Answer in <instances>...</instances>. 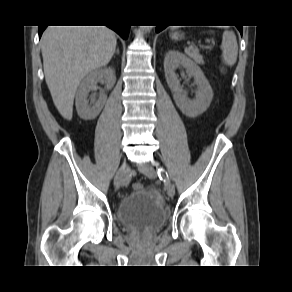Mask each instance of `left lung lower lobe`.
<instances>
[{
    "label": "left lung lower lobe",
    "mask_w": 292,
    "mask_h": 292,
    "mask_svg": "<svg viewBox=\"0 0 292 292\" xmlns=\"http://www.w3.org/2000/svg\"><path fill=\"white\" fill-rule=\"evenodd\" d=\"M164 28H166L165 25H157V27H156V32H160V31H162ZM237 28L239 29L240 33L242 34V26H240V27L237 26Z\"/></svg>",
    "instance_id": "left-lung-lower-lobe-1"
}]
</instances>
